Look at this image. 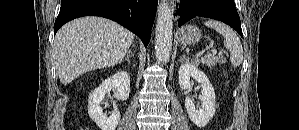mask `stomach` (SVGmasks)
Masks as SVG:
<instances>
[{
    "label": "stomach",
    "instance_id": "obj_1",
    "mask_svg": "<svg viewBox=\"0 0 299 130\" xmlns=\"http://www.w3.org/2000/svg\"><path fill=\"white\" fill-rule=\"evenodd\" d=\"M178 39L182 44H196L201 39V31L193 25H186L178 31Z\"/></svg>",
    "mask_w": 299,
    "mask_h": 130
}]
</instances>
